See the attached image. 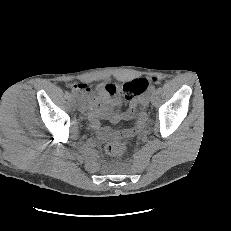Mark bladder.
<instances>
[{"label":"bladder","instance_id":"1","mask_svg":"<svg viewBox=\"0 0 231 231\" xmlns=\"http://www.w3.org/2000/svg\"><path fill=\"white\" fill-rule=\"evenodd\" d=\"M98 92L105 103L116 104L119 101V97L104 84L99 85Z\"/></svg>","mask_w":231,"mask_h":231}]
</instances>
